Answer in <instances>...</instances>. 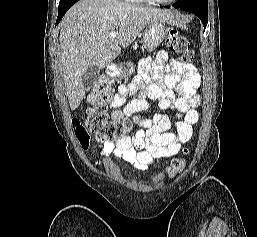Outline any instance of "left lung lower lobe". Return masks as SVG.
Listing matches in <instances>:
<instances>
[{"label": "left lung lower lobe", "mask_w": 257, "mask_h": 237, "mask_svg": "<svg viewBox=\"0 0 257 237\" xmlns=\"http://www.w3.org/2000/svg\"><path fill=\"white\" fill-rule=\"evenodd\" d=\"M175 8H180L181 10L188 11L196 15L203 23L204 30L207 26L208 22V6H202V5H186V6H178L177 4L174 5ZM166 8H169L166 6Z\"/></svg>", "instance_id": "1"}]
</instances>
